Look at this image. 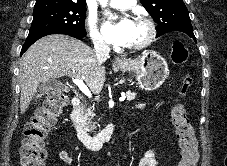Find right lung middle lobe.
Returning a JSON list of instances; mask_svg holds the SVG:
<instances>
[{"mask_svg": "<svg viewBox=\"0 0 227 166\" xmlns=\"http://www.w3.org/2000/svg\"><path fill=\"white\" fill-rule=\"evenodd\" d=\"M85 16L86 6L72 4L35 5L33 21L27 38L55 31L85 36Z\"/></svg>", "mask_w": 227, "mask_h": 166, "instance_id": "obj_1", "label": "right lung middle lobe"}]
</instances>
